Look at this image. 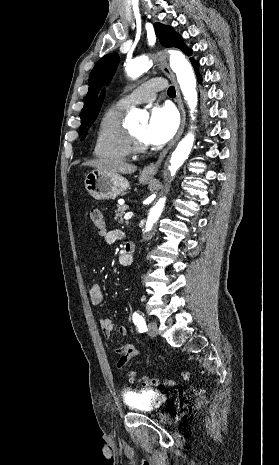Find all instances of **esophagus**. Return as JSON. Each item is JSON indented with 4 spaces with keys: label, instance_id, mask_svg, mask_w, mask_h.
Instances as JSON below:
<instances>
[{
    "label": "esophagus",
    "instance_id": "esophagus-1",
    "mask_svg": "<svg viewBox=\"0 0 279 465\" xmlns=\"http://www.w3.org/2000/svg\"><path fill=\"white\" fill-rule=\"evenodd\" d=\"M157 61H158L159 67L161 68L163 73L172 81V83L175 86L177 103H178V107H179V110H180V113H181V124H180V128L178 130L177 135L169 143V145L160 153L157 161L152 162V163L146 165L143 168L142 175L148 176V177H153L157 173V171H158L159 167L161 166V163L163 162V160H164L166 154L168 153V151L180 139V137H181V135L183 133L184 126H185V121H186V114H185V110H184V106H183V102H182V98H181V93H180V89H179L176 77H175L174 73L172 72V70L170 69V67H169V65H168V63L166 61V58L164 56H162V55L159 56L157 58Z\"/></svg>",
    "mask_w": 279,
    "mask_h": 465
}]
</instances>
